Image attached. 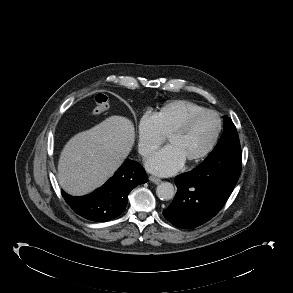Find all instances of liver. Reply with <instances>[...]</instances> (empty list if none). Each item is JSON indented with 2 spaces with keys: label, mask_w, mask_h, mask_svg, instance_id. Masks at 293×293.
I'll use <instances>...</instances> for the list:
<instances>
[{
  "label": "liver",
  "mask_w": 293,
  "mask_h": 293,
  "mask_svg": "<svg viewBox=\"0 0 293 293\" xmlns=\"http://www.w3.org/2000/svg\"><path fill=\"white\" fill-rule=\"evenodd\" d=\"M134 141L132 121L117 115L76 134L67 142L59 158L60 186L74 196L92 192L119 168Z\"/></svg>",
  "instance_id": "1"
}]
</instances>
